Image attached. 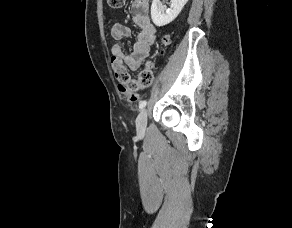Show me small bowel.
<instances>
[{"mask_svg":"<svg viewBox=\"0 0 292 228\" xmlns=\"http://www.w3.org/2000/svg\"><path fill=\"white\" fill-rule=\"evenodd\" d=\"M131 11L133 23L139 29L132 51L126 52L120 42L131 35L130 27L123 23H115L112 26L111 34L118 42L111 49V62L112 67L120 64L127 70L136 71L151 51L156 39V27L149 16V0H133Z\"/></svg>","mask_w":292,"mask_h":228,"instance_id":"small-bowel-1","label":"small bowel"}]
</instances>
